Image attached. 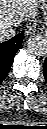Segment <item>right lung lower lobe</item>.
Wrapping results in <instances>:
<instances>
[{
	"label": "right lung lower lobe",
	"instance_id": "right-lung-lower-lobe-1",
	"mask_svg": "<svg viewBox=\"0 0 47 129\" xmlns=\"http://www.w3.org/2000/svg\"><path fill=\"white\" fill-rule=\"evenodd\" d=\"M23 38L24 34L19 33L12 39L0 44V84L10 70L13 58L20 48Z\"/></svg>",
	"mask_w": 47,
	"mask_h": 129
}]
</instances>
